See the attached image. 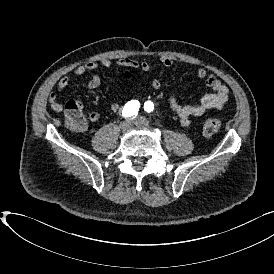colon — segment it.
<instances>
[{"instance_id": "1", "label": "colon", "mask_w": 274, "mask_h": 274, "mask_svg": "<svg viewBox=\"0 0 274 274\" xmlns=\"http://www.w3.org/2000/svg\"><path fill=\"white\" fill-rule=\"evenodd\" d=\"M131 77V72L127 73ZM82 106L76 100H70L64 105L66 121L75 131H82L86 125V118L81 113ZM221 129V122L218 118H208L204 121L203 132L205 135H213Z\"/></svg>"}]
</instances>
